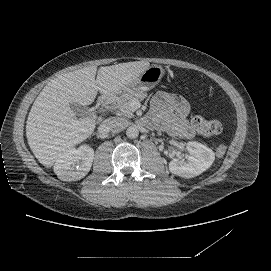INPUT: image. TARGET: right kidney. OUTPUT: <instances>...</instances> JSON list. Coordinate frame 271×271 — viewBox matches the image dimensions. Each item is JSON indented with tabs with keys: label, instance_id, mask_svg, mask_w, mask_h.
Wrapping results in <instances>:
<instances>
[{
	"label": "right kidney",
	"instance_id": "ca27d5eb",
	"mask_svg": "<svg viewBox=\"0 0 271 271\" xmlns=\"http://www.w3.org/2000/svg\"><path fill=\"white\" fill-rule=\"evenodd\" d=\"M94 150L89 145L66 150L54 165V172L62 181H78L90 171Z\"/></svg>",
	"mask_w": 271,
	"mask_h": 271
}]
</instances>
